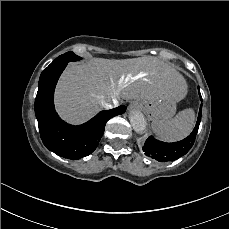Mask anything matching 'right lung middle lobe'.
I'll use <instances>...</instances> for the list:
<instances>
[{
	"mask_svg": "<svg viewBox=\"0 0 229 229\" xmlns=\"http://www.w3.org/2000/svg\"><path fill=\"white\" fill-rule=\"evenodd\" d=\"M81 58L75 55L73 52H67L63 55H60L57 57L47 68H52L55 66H58L62 63H68L70 61H77L80 60Z\"/></svg>",
	"mask_w": 229,
	"mask_h": 229,
	"instance_id": "obj_1",
	"label": "right lung middle lobe"
}]
</instances>
